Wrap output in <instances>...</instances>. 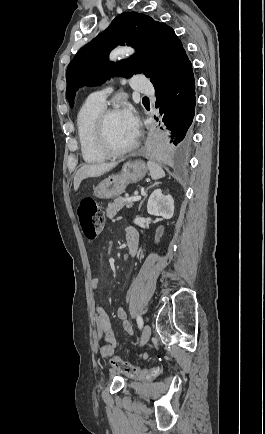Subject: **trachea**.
<instances>
[{
  "label": "trachea",
  "mask_w": 265,
  "mask_h": 434,
  "mask_svg": "<svg viewBox=\"0 0 265 434\" xmlns=\"http://www.w3.org/2000/svg\"><path fill=\"white\" fill-rule=\"evenodd\" d=\"M145 99H146V100H149L148 97H143V100H145Z\"/></svg>",
  "instance_id": "1"
}]
</instances>
